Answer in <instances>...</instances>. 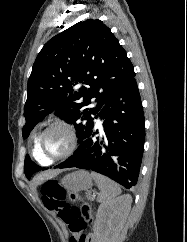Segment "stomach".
Masks as SVG:
<instances>
[{
  "mask_svg": "<svg viewBox=\"0 0 187 242\" xmlns=\"http://www.w3.org/2000/svg\"><path fill=\"white\" fill-rule=\"evenodd\" d=\"M61 184L68 191L77 193L82 190H88L92 187L91 175L84 170H79L66 175Z\"/></svg>",
  "mask_w": 187,
  "mask_h": 242,
  "instance_id": "obj_1",
  "label": "stomach"
}]
</instances>
